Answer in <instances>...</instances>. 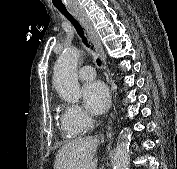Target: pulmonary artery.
<instances>
[{
    "instance_id": "pulmonary-artery-1",
    "label": "pulmonary artery",
    "mask_w": 177,
    "mask_h": 169,
    "mask_svg": "<svg viewBox=\"0 0 177 169\" xmlns=\"http://www.w3.org/2000/svg\"><path fill=\"white\" fill-rule=\"evenodd\" d=\"M96 76L95 70L92 66L86 65L80 68L78 72L79 79L83 81H91Z\"/></svg>"
}]
</instances>
